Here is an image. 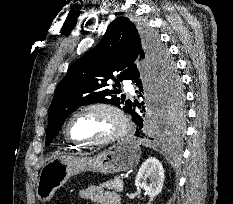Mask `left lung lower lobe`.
<instances>
[{
	"label": "left lung lower lobe",
	"instance_id": "left-lung-lower-lobe-1",
	"mask_svg": "<svg viewBox=\"0 0 233 204\" xmlns=\"http://www.w3.org/2000/svg\"><path fill=\"white\" fill-rule=\"evenodd\" d=\"M156 78H157V76H156ZM130 80H132L135 83V85L137 86L136 92L139 93V96L143 97L142 96V92H143L142 80H141L140 72L138 71L137 66L134 69V71L132 72ZM156 84H157V86H155L154 82L150 83V88L158 90L159 95H160L161 94V87L159 85L158 78H157ZM156 87H157V89H156ZM160 101H161V98H160ZM136 106L138 108L142 109L141 112H143V110L145 109V107L141 106L139 103H132V105L126 111V113H129L132 116V120L135 123V125L137 126L136 133H135L136 136L143 138L145 136V131L150 129L154 133L153 138H151V139L152 140L156 139V140L160 141V140L166 139L168 137L167 134L174 133V132L181 129V128L176 129L170 123H167L165 121V119L163 118L162 101L160 102V111H159L158 121H156L154 124H152L151 127L149 126V128L147 127V123H146V120H144L143 115H140L135 111Z\"/></svg>",
	"mask_w": 233,
	"mask_h": 204
}]
</instances>
